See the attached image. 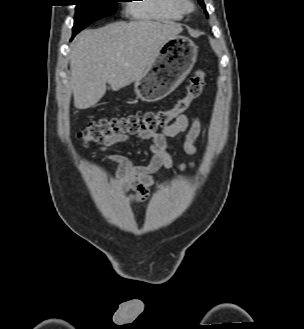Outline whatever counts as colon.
Listing matches in <instances>:
<instances>
[{
	"instance_id": "colon-1",
	"label": "colon",
	"mask_w": 304,
	"mask_h": 329,
	"mask_svg": "<svg viewBox=\"0 0 304 329\" xmlns=\"http://www.w3.org/2000/svg\"><path fill=\"white\" fill-rule=\"evenodd\" d=\"M205 83L206 72L199 69L193 74L186 95L179 98L171 108L143 114L101 118L90 122L86 129L80 132L79 137L84 143H90L103 141L113 135L150 136L156 130L170 125L178 116L185 114L191 103L202 93Z\"/></svg>"
}]
</instances>
